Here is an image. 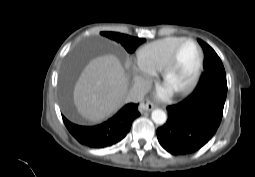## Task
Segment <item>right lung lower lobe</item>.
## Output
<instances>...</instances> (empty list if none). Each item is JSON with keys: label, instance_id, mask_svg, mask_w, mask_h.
I'll return each instance as SVG.
<instances>
[{"label": "right lung lower lobe", "instance_id": "right-lung-lower-lobe-1", "mask_svg": "<svg viewBox=\"0 0 255 177\" xmlns=\"http://www.w3.org/2000/svg\"><path fill=\"white\" fill-rule=\"evenodd\" d=\"M140 115L138 105L129 103L108 121L92 127L74 124L63 116L64 124L73 137L91 148H105L121 141L130 131L131 124Z\"/></svg>", "mask_w": 255, "mask_h": 177}]
</instances>
